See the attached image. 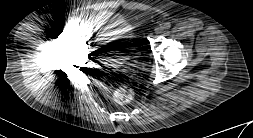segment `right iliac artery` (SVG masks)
Instances as JSON below:
<instances>
[{
  "label": "right iliac artery",
  "instance_id": "obj_1",
  "mask_svg": "<svg viewBox=\"0 0 253 138\" xmlns=\"http://www.w3.org/2000/svg\"><path fill=\"white\" fill-rule=\"evenodd\" d=\"M73 26H74V23H73L72 21H69V22L67 23V27H68L69 29H72Z\"/></svg>",
  "mask_w": 253,
  "mask_h": 138
}]
</instances>
